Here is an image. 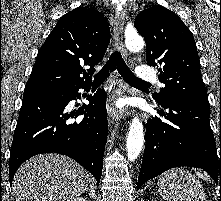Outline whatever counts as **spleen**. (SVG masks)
<instances>
[{"label":"spleen","mask_w":221,"mask_h":201,"mask_svg":"<svg viewBox=\"0 0 221 201\" xmlns=\"http://www.w3.org/2000/svg\"><path fill=\"white\" fill-rule=\"evenodd\" d=\"M158 191L167 201H206L203 186L184 168L164 172L158 180Z\"/></svg>","instance_id":"spleen-1"}]
</instances>
